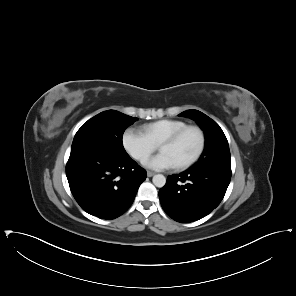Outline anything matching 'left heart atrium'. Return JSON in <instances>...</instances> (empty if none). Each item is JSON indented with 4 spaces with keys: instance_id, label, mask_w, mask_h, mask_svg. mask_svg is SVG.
<instances>
[{
    "instance_id": "obj_1",
    "label": "left heart atrium",
    "mask_w": 296,
    "mask_h": 296,
    "mask_svg": "<svg viewBox=\"0 0 296 296\" xmlns=\"http://www.w3.org/2000/svg\"><path fill=\"white\" fill-rule=\"evenodd\" d=\"M147 164L153 169L164 170L173 167L176 163L166 153H161L150 159Z\"/></svg>"
}]
</instances>
